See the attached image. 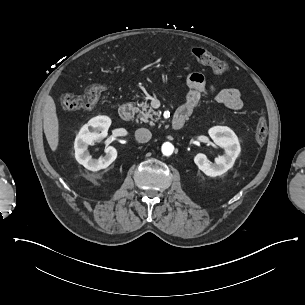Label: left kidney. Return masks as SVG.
I'll list each match as a JSON object with an SVG mask.
<instances>
[{
  "label": "left kidney",
  "instance_id": "left-kidney-1",
  "mask_svg": "<svg viewBox=\"0 0 305 305\" xmlns=\"http://www.w3.org/2000/svg\"><path fill=\"white\" fill-rule=\"evenodd\" d=\"M209 136L214 144L224 147L227 154L217 160L216 164L207 161V156L197 153L193 160L199 170L209 177H217L227 172L234 165L240 152L239 142L234 132L228 127H213Z\"/></svg>",
  "mask_w": 305,
  "mask_h": 305
}]
</instances>
